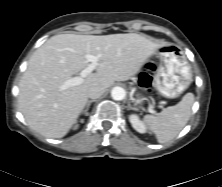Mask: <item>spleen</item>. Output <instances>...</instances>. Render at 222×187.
Returning <instances> with one entry per match:
<instances>
[{"label": "spleen", "instance_id": "obj_1", "mask_svg": "<svg viewBox=\"0 0 222 187\" xmlns=\"http://www.w3.org/2000/svg\"><path fill=\"white\" fill-rule=\"evenodd\" d=\"M194 95L187 93L182 100L165 108L157 115H145L144 122L155 134L159 143H167L174 139L184 128L191 116Z\"/></svg>", "mask_w": 222, "mask_h": 187}]
</instances>
